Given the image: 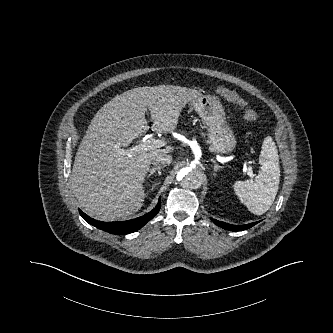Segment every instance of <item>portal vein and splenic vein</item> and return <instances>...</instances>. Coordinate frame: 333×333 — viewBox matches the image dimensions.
Masks as SVG:
<instances>
[{
    "label": "portal vein and splenic vein",
    "instance_id": "portal-vein-and-splenic-vein-1",
    "mask_svg": "<svg viewBox=\"0 0 333 333\" xmlns=\"http://www.w3.org/2000/svg\"><path fill=\"white\" fill-rule=\"evenodd\" d=\"M162 146H165V142L163 140L155 139V138H150L147 141H144L143 143L134 146L131 150L141 153V152H146L149 150H154L157 148H160ZM247 175L250 178L254 177L252 168L247 169Z\"/></svg>",
    "mask_w": 333,
    "mask_h": 333
}]
</instances>
